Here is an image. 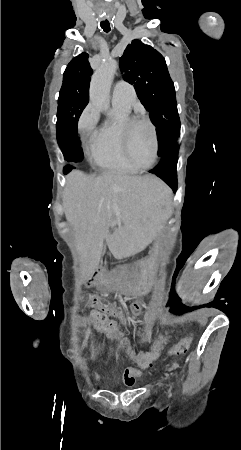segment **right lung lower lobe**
<instances>
[{
    "instance_id": "1",
    "label": "right lung lower lobe",
    "mask_w": 241,
    "mask_h": 450,
    "mask_svg": "<svg viewBox=\"0 0 241 450\" xmlns=\"http://www.w3.org/2000/svg\"><path fill=\"white\" fill-rule=\"evenodd\" d=\"M78 119L79 117H75L73 119L72 123L69 126L68 133L66 135V143H67L66 151L68 157L83 154L77 136Z\"/></svg>"
}]
</instances>
